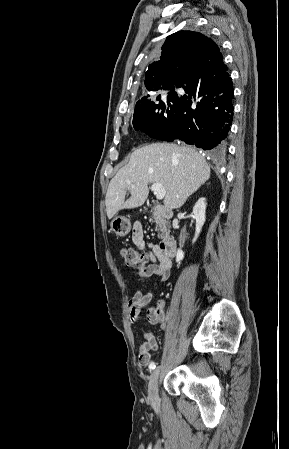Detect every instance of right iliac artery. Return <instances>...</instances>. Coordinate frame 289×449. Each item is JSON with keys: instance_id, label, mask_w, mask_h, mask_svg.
I'll return each instance as SVG.
<instances>
[{"instance_id": "82829eb1", "label": "right iliac artery", "mask_w": 289, "mask_h": 449, "mask_svg": "<svg viewBox=\"0 0 289 449\" xmlns=\"http://www.w3.org/2000/svg\"><path fill=\"white\" fill-rule=\"evenodd\" d=\"M155 367H156L155 362H151L150 365H149V369L152 371V370L155 369Z\"/></svg>"}]
</instances>
